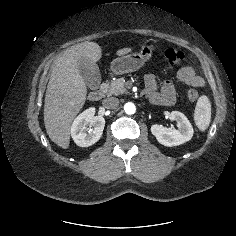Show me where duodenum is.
<instances>
[{"label":"duodenum","mask_w":236,"mask_h":236,"mask_svg":"<svg viewBox=\"0 0 236 236\" xmlns=\"http://www.w3.org/2000/svg\"><path fill=\"white\" fill-rule=\"evenodd\" d=\"M105 93V88L103 86H100L99 88L91 91L88 95V98L92 102L99 101Z\"/></svg>","instance_id":"duodenum-1"}]
</instances>
